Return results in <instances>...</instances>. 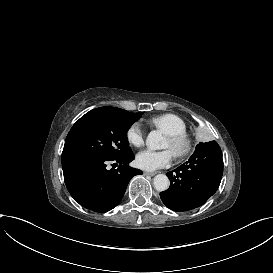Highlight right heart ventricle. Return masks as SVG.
I'll return each instance as SVG.
<instances>
[{"label": "right heart ventricle", "mask_w": 273, "mask_h": 273, "mask_svg": "<svg viewBox=\"0 0 273 273\" xmlns=\"http://www.w3.org/2000/svg\"><path fill=\"white\" fill-rule=\"evenodd\" d=\"M148 124L163 128L166 134L185 133L187 130L186 121L178 114L164 113L151 117Z\"/></svg>", "instance_id": "e07e8e85"}]
</instances>
